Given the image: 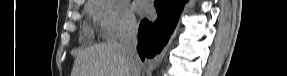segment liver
I'll use <instances>...</instances> for the list:
<instances>
[{
	"mask_svg": "<svg viewBox=\"0 0 287 76\" xmlns=\"http://www.w3.org/2000/svg\"><path fill=\"white\" fill-rule=\"evenodd\" d=\"M129 64L116 41L79 51L71 76H129Z\"/></svg>",
	"mask_w": 287,
	"mask_h": 76,
	"instance_id": "6515ba94",
	"label": "liver"
}]
</instances>
